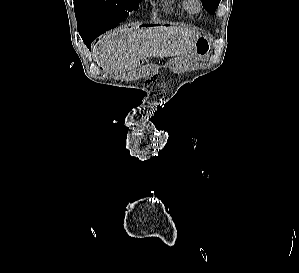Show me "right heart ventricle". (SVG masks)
<instances>
[{
	"label": "right heart ventricle",
	"mask_w": 299,
	"mask_h": 273,
	"mask_svg": "<svg viewBox=\"0 0 299 273\" xmlns=\"http://www.w3.org/2000/svg\"><path fill=\"white\" fill-rule=\"evenodd\" d=\"M183 8L186 11H190L189 2L187 0L183 1Z\"/></svg>",
	"instance_id": "right-heart-ventricle-1"
}]
</instances>
